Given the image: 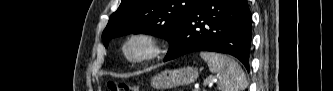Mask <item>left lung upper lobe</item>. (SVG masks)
<instances>
[{
  "mask_svg": "<svg viewBox=\"0 0 333 91\" xmlns=\"http://www.w3.org/2000/svg\"><path fill=\"white\" fill-rule=\"evenodd\" d=\"M199 0H122L102 33L109 41L129 33H146L170 42Z\"/></svg>",
  "mask_w": 333,
  "mask_h": 91,
  "instance_id": "1",
  "label": "left lung upper lobe"
}]
</instances>
